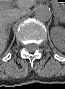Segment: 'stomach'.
Returning <instances> with one entry per match:
<instances>
[{
	"mask_svg": "<svg viewBox=\"0 0 65 89\" xmlns=\"http://www.w3.org/2000/svg\"><path fill=\"white\" fill-rule=\"evenodd\" d=\"M56 12L61 21L65 20V4H55Z\"/></svg>",
	"mask_w": 65,
	"mask_h": 89,
	"instance_id": "obj_1",
	"label": "stomach"
}]
</instances>
